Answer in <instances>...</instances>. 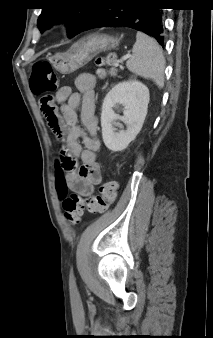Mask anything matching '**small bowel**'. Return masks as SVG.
<instances>
[{
	"mask_svg": "<svg viewBox=\"0 0 213 338\" xmlns=\"http://www.w3.org/2000/svg\"><path fill=\"white\" fill-rule=\"evenodd\" d=\"M75 86L77 92H72L69 86H63L56 92L55 101L59 105L56 115L64 132V146L69 158L75 164L78 160L82 162L80 168L75 166L67 171L68 187L72 192L86 198L93 194L94 184L101 180L96 155L100 146L96 135L98 129L94 94L96 77L90 73L79 74L75 79ZM79 120L82 126L78 125Z\"/></svg>",
	"mask_w": 213,
	"mask_h": 338,
	"instance_id": "small-bowel-1",
	"label": "small bowel"
}]
</instances>
